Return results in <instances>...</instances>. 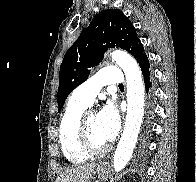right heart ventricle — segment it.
<instances>
[{
    "instance_id": "e07e8e85",
    "label": "right heart ventricle",
    "mask_w": 196,
    "mask_h": 182,
    "mask_svg": "<svg viewBox=\"0 0 196 182\" xmlns=\"http://www.w3.org/2000/svg\"><path fill=\"white\" fill-rule=\"evenodd\" d=\"M86 105L70 99L60 119L58 136L62 152L71 164H82L89 155L81 151L76 142V126Z\"/></svg>"
}]
</instances>
